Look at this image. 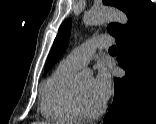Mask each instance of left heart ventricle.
Segmentation results:
<instances>
[{
  "mask_svg": "<svg viewBox=\"0 0 156 124\" xmlns=\"http://www.w3.org/2000/svg\"><path fill=\"white\" fill-rule=\"evenodd\" d=\"M83 102L89 110H96L102 103L95 96L92 88V78L84 77L78 80Z\"/></svg>",
  "mask_w": 156,
  "mask_h": 124,
  "instance_id": "obj_1",
  "label": "left heart ventricle"
}]
</instances>
